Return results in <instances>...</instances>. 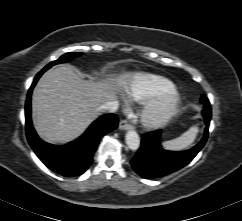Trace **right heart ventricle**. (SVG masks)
I'll use <instances>...</instances> for the list:
<instances>
[{"label": "right heart ventricle", "mask_w": 242, "mask_h": 221, "mask_svg": "<svg viewBox=\"0 0 242 221\" xmlns=\"http://www.w3.org/2000/svg\"><path fill=\"white\" fill-rule=\"evenodd\" d=\"M174 89L175 85L165 77L137 74L126 88V93L135 102H145Z\"/></svg>", "instance_id": "right-heart-ventricle-1"}]
</instances>
